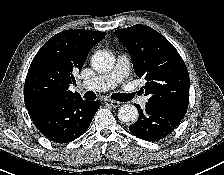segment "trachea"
<instances>
[{"instance_id": "obj_1", "label": "trachea", "mask_w": 224, "mask_h": 175, "mask_svg": "<svg viewBox=\"0 0 224 175\" xmlns=\"http://www.w3.org/2000/svg\"><path fill=\"white\" fill-rule=\"evenodd\" d=\"M136 93H114L112 94L111 98L114 100L122 101V102H127L130 101ZM139 94V93H138ZM84 98L87 100H95L96 95L92 91H88L84 94Z\"/></svg>"}]
</instances>
